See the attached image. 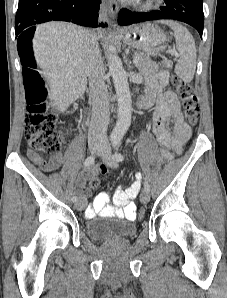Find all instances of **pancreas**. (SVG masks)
I'll use <instances>...</instances> for the list:
<instances>
[{"label":"pancreas","instance_id":"pancreas-1","mask_svg":"<svg viewBox=\"0 0 227 298\" xmlns=\"http://www.w3.org/2000/svg\"><path fill=\"white\" fill-rule=\"evenodd\" d=\"M135 56L139 58V62L135 64V66L142 75H148L150 73L157 72L159 70V66L161 65L168 69L172 68V62L168 60H164L160 64H156L149 56L143 53L137 52L135 53Z\"/></svg>","mask_w":227,"mask_h":298}]
</instances>
